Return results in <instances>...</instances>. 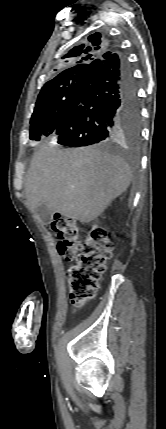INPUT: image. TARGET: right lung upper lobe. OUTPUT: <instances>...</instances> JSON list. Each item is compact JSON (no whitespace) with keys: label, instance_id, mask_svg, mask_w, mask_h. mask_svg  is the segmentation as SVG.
I'll return each mask as SVG.
<instances>
[{"label":"right lung upper lobe","instance_id":"right-lung-upper-lobe-1","mask_svg":"<svg viewBox=\"0 0 166 429\" xmlns=\"http://www.w3.org/2000/svg\"><path fill=\"white\" fill-rule=\"evenodd\" d=\"M90 45L81 44L72 48L58 63L61 72L52 80L48 81L41 88L40 93L46 91L55 83L76 75H84L89 64L102 57L105 53L109 54L110 42L100 34H94L89 37ZM55 69L54 71H56Z\"/></svg>","mask_w":166,"mask_h":429}]
</instances>
